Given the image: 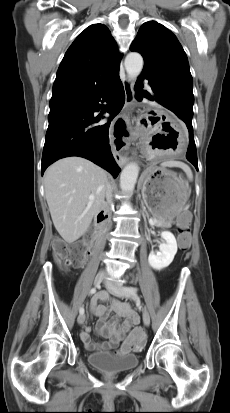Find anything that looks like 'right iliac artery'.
Returning <instances> with one entry per match:
<instances>
[{"instance_id": "obj_1", "label": "right iliac artery", "mask_w": 230, "mask_h": 413, "mask_svg": "<svg viewBox=\"0 0 230 413\" xmlns=\"http://www.w3.org/2000/svg\"><path fill=\"white\" fill-rule=\"evenodd\" d=\"M89 293H90L91 295L94 294V293H96V288H95V287L92 288ZM79 312H80V314H84V308L81 307L80 310H79Z\"/></svg>"}]
</instances>
